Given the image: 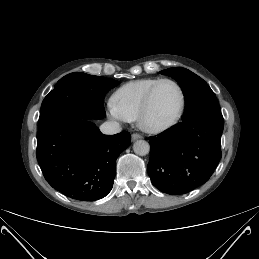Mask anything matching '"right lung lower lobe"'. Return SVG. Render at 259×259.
<instances>
[{
    "label": "right lung lower lobe",
    "mask_w": 259,
    "mask_h": 259,
    "mask_svg": "<svg viewBox=\"0 0 259 259\" xmlns=\"http://www.w3.org/2000/svg\"><path fill=\"white\" fill-rule=\"evenodd\" d=\"M130 133L103 135L92 119L60 115L39 124L37 160L47 182L65 196L94 201L113 187L116 159Z\"/></svg>",
    "instance_id": "98d812e1"
}]
</instances>
